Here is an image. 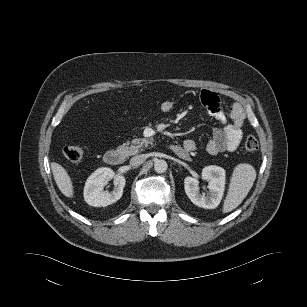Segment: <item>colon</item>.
Segmentation results:
<instances>
[{
	"instance_id": "5ec220e1",
	"label": "colon",
	"mask_w": 307,
	"mask_h": 307,
	"mask_svg": "<svg viewBox=\"0 0 307 307\" xmlns=\"http://www.w3.org/2000/svg\"><path fill=\"white\" fill-rule=\"evenodd\" d=\"M245 149L254 152L258 149L259 143L256 137L248 136L244 143ZM63 156L70 162L76 163L82 159L83 150L78 146H66L63 149Z\"/></svg>"
}]
</instances>
